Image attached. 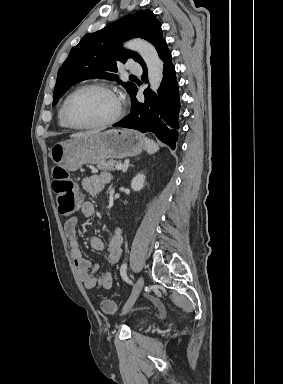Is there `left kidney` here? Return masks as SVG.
<instances>
[{
  "instance_id": "left-kidney-1",
  "label": "left kidney",
  "mask_w": 283,
  "mask_h": 384,
  "mask_svg": "<svg viewBox=\"0 0 283 384\" xmlns=\"http://www.w3.org/2000/svg\"><path fill=\"white\" fill-rule=\"evenodd\" d=\"M145 176L144 174H137L131 182V188L134 192H140L144 186Z\"/></svg>"
}]
</instances>
